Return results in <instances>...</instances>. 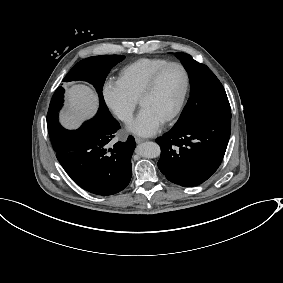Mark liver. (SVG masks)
I'll list each match as a JSON object with an SVG mask.
<instances>
[{
    "label": "liver",
    "mask_w": 283,
    "mask_h": 283,
    "mask_svg": "<svg viewBox=\"0 0 283 283\" xmlns=\"http://www.w3.org/2000/svg\"><path fill=\"white\" fill-rule=\"evenodd\" d=\"M66 107L60 112V123L68 129H76L82 121L92 117L98 109L97 93L82 84L71 86L66 93Z\"/></svg>",
    "instance_id": "liver-1"
}]
</instances>
